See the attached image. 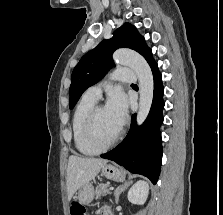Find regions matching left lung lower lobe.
I'll return each instance as SVG.
<instances>
[{"label": "left lung lower lobe", "mask_w": 223, "mask_h": 215, "mask_svg": "<svg viewBox=\"0 0 223 215\" xmlns=\"http://www.w3.org/2000/svg\"><path fill=\"white\" fill-rule=\"evenodd\" d=\"M154 78V95L149 115L142 126L136 125V115L131 117V127L125 139L101 157L124 166L132 173L142 174L156 184L162 162L160 125L163 122L162 76L155 62L151 65Z\"/></svg>", "instance_id": "left-lung-lower-lobe-1"}]
</instances>
